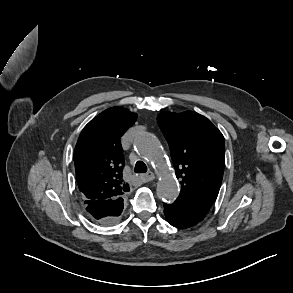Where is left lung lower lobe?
<instances>
[{
	"instance_id": "obj_1",
	"label": "left lung lower lobe",
	"mask_w": 293,
	"mask_h": 293,
	"mask_svg": "<svg viewBox=\"0 0 293 293\" xmlns=\"http://www.w3.org/2000/svg\"><path fill=\"white\" fill-rule=\"evenodd\" d=\"M164 213L169 224L174 227L185 229L199 223L207 212L190 206L176 199L173 204L164 203Z\"/></svg>"
}]
</instances>
